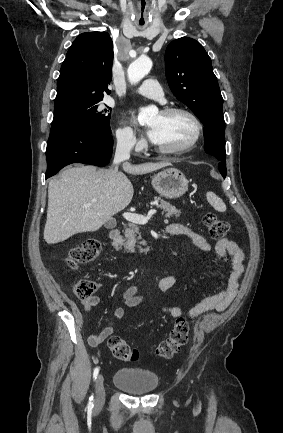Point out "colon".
I'll list each match as a JSON object with an SVG mask.
<instances>
[{
  "label": "colon",
  "mask_w": 283,
  "mask_h": 433,
  "mask_svg": "<svg viewBox=\"0 0 283 433\" xmlns=\"http://www.w3.org/2000/svg\"><path fill=\"white\" fill-rule=\"evenodd\" d=\"M203 223L209 236L214 240L227 236L230 225L213 212H207L203 217ZM101 242L95 238H89L80 245L74 247L67 258V264L75 269L79 265L94 261L101 252ZM96 284L90 280H80L74 287L75 295L81 299H87L94 294ZM189 324L184 317H178L167 339L159 343L156 354L162 358H169L178 352L188 341ZM112 355L122 361H135L139 358V351L131 347L119 336H112L108 341Z\"/></svg>",
  "instance_id": "obj_1"
}]
</instances>
